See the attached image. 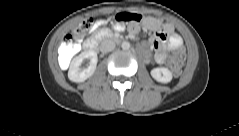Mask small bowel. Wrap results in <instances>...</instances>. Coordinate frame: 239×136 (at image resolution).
I'll use <instances>...</instances> for the list:
<instances>
[{
    "instance_id": "c3829d8e",
    "label": "small bowel",
    "mask_w": 239,
    "mask_h": 136,
    "mask_svg": "<svg viewBox=\"0 0 239 136\" xmlns=\"http://www.w3.org/2000/svg\"><path fill=\"white\" fill-rule=\"evenodd\" d=\"M143 28L153 32L150 42L152 48L155 50V60L158 64H164L166 62V48L176 49L182 44L180 36L173 32V27L170 24L162 25L156 18H145ZM115 29L120 30L122 26L116 25ZM128 30L130 34L136 35L140 31V27L131 25ZM167 34H169V37Z\"/></svg>"
}]
</instances>
